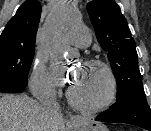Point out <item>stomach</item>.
<instances>
[{
    "mask_svg": "<svg viewBox=\"0 0 151 131\" xmlns=\"http://www.w3.org/2000/svg\"><path fill=\"white\" fill-rule=\"evenodd\" d=\"M75 131H108V128L100 123L90 120H82L73 125Z\"/></svg>",
    "mask_w": 151,
    "mask_h": 131,
    "instance_id": "0dacf381",
    "label": "stomach"
}]
</instances>
